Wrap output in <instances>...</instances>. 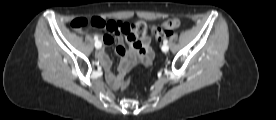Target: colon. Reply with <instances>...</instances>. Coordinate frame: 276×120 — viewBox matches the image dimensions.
Listing matches in <instances>:
<instances>
[{"label": "colon", "instance_id": "colon-1", "mask_svg": "<svg viewBox=\"0 0 276 120\" xmlns=\"http://www.w3.org/2000/svg\"><path fill=\"white\" fill-rule=\"evenodd\" d=\"M180 25V21L177 18H170L165 20L161 26H153L148 28L147 24L143 21H135L123 24L121 27V33L129 40L146 38L148 33L156 39H163L169 36ZM71 28L74 31L80 32L86 30L89 27L104 30L108 26V22L100 17L93 18H77L74 19L71 24ZM129 85V80L116 81V86L121 90H125Z\"/></svg>", "mask_w": 276, "mask_h": 120}]
</instances>
